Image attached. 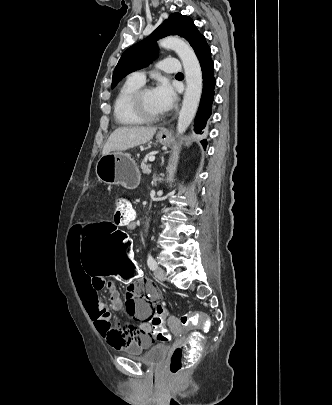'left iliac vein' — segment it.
I'll use <instances>...</instances> for the list:
<instances>
[{
	"instance_id": "1",
	"label": "left iliac vein",
	"mask_w": 332,
	"mask_h": 405,
	"mask_svg": "<svg viewBox=\"0 0 332 405\" xmlns=\"http://www.w3.org/2000/svg\"><path fill=\"white\" fill-rule=\"evenodd\" d=\"M154 276L160 280V281H164L166 279V273L165 270L163 268L157 267L154 271Z\"/></svg>"
}]
</instances>
